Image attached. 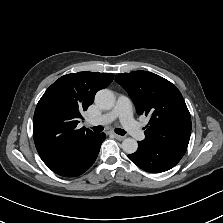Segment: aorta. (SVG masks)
Listing matches in <instances>:
<instances>
[{
	"mask_svg": "<svg viewBox=\"0 0 223 223\" xmlns=\"http://www.w3.org/2000/svg\"><path fill=\"white\" fill-rule=\"evenodd\" d=\"M116 98L112 91L103 89L97 92L95 96V104L102 110H111L115 106ZM122 149L128 154H132L137 151L138 143L133 138H125L122 141Z\"/></svg>",
	"mask_w": 223,
	"mask_h": 223,
	"instance_id": "obj_1",
	"label": "aorta"
}]
</instances>
